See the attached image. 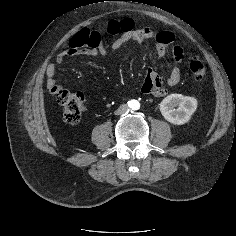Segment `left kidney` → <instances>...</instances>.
Listing matches in <instances>:
<instances>
[{
	"instance_id": "left-kidney-1",
	"label": "left kidney",
	"mask_w": 236,
	"mask_h": 236,
	"mask_svg": "<svg viewBox=\"0 0 236 236\" xmlns=\"http://www.w3.org/2000/svg\"><path fill=\"white\" fill-rule=\"evenodd\" d=\"M197 104V100L194 97L170 94L160 103V111L168 122L175 125H183L191 119L197 109Z\"/></svg>"
}]
</instances>
